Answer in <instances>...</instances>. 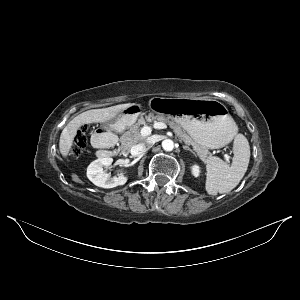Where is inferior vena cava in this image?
<instances>
[{"mask_svg": "<svg viewBox=\"0 0 300 300\" xmlns=\"http://www.w3.org/2000/svg\"><path fill=\"white\" fill-rule=\"evenodd\" d=\"M149 145H150V144L147 143V142L139 143V144H137V145H134V146L131 148V154H132V156H138V155L143 154L144 152L147 151Z\"/></svg>", "mask_w": 300, "mask_h": 300, "instance_id": "obj_1", "label": "inferior vena cava"}]
</instances>
